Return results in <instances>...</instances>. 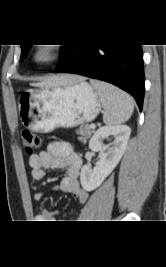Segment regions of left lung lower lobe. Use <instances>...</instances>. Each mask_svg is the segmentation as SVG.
I'll return each instance as SVG.
<instances>
[{"mask_svg":"<svg viewBox=\"0 0 166 267\" xmlns=\"http://www.w3.org/2000/svg\"><path fill=\"white\" fill-rule=\"evenodd\" d=\"M54 73H76L116 85L142 110L145 80L141 45L70 44Z\"/></svg>","mask_w":166,"mask_h":267,"instance_id":"left-lung-lower-lobe-1","label":"left lung lower lobe"}]
</instances>
